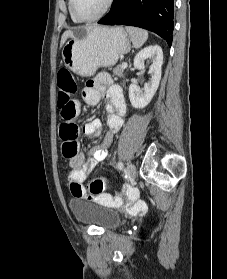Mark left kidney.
<instances>
[{
    "mask_svg": "<svg viewBox=\"0 0 227 279\" xmlns=\"http://www.w3.org/2000/svg\"><path fill=\"white\" fill-rule=\"evenodd\" d=\"M152 60L148 74L151 75L150 81L145 83L143 91L136 84L129 86V99L132 106L136 109L146 107L156 93L161 79V67L163 64L162 48L158 45L148 46L142 49L134 58V67L139 70L144 69V61Z\"/></svg>",
    "mask_w": 227,
    "mask_h": 279,
    "instance_id": "5707ae66",
    "label": "left kidney"
}]
</instances>
